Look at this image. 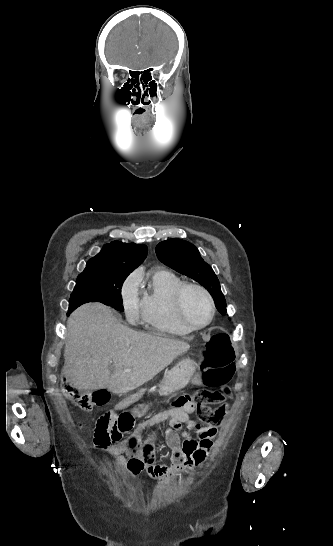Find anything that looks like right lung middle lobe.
Instances as JSON below:
<instances>
[{
  "instance_id": "obj_1",
  "label": "right lung middle lobe",
  "mask_w": 333,
  "mask_h": 546,
  "mask_svg": "<svg viewBox=\"0 0 333 546\" xmlns=\"http://www.w3.org/2000/svg\"><path fill=\"white\" fill-rule=\"evenodd\" d=\"M130 272L99 267L79 275L69 300V313L88 302H101L123 312L121 288Z\"/></svg>"
}]
</instances>
